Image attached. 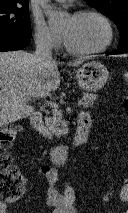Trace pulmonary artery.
<instances>
[{
  "mask_svg": "<svg viewBox=\"0 0 128 213\" xmlns=\"http://www.w3.org/2000/svg\"><path fill=\"white\" fill-rule=\"evenodd\" d=\"M56 1H60V2H63V1H65V0H56Z\"/></svg>",
  "mask_w": 128,
  "mask_h": 213,
  "instance_id": "pulmonary-artery-1",
  "label": "pulmonary artery"
}]
</instances>
